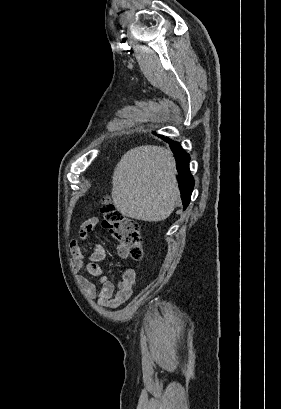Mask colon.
<instances>
[{
  "mask_svg": "<svg viewBox=\"0 0 281 409\" xmlns=\"http://www.w3.org/2000/svg\"><path fill=\"white\" fill-rule=\"evenodd\" d=\"M102 226L114 235L124 252L135 260L143 256L142 233L140 226L131 218L111 204L100 208Z\"/></svg>",
  "mask_w": 281,
  "mask_h": 409,
  "instance_id": "1",
  "label": "colon"
}]
</instances>
